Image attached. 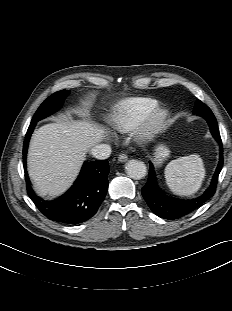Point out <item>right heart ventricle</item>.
<instances>
[{
    "label": "right heart ventricle",
    "instance_id": "obj_1",
    "mask_svg": "<svg viewBox=\"0 0 232 311\" xmlns=\"http://www.w3.org/2000/svg\"><path fill=\"white\" fill-rule=\"evenodd\" d=\"M158 100L151 97H132L121 101L109 118L111 129L127 133L136 128L141 120L158 106Z\"/></svg>",
    "mask_w": 232,
    "mask_h": 311
}]
</instances>
